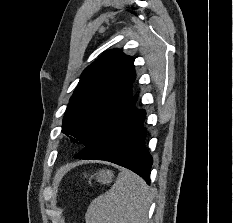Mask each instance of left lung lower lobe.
<instances>
[{"label": "left lung lower lobe", "instance_id": "left-lung-lower-lobe-1", "mask_svg": "<svg viewBox=\"0 0 233 223\" xmlns=\"http://www.w3.org/2000/svg\"><path fill=\"white\" fill-rule=\"evenodd\" d=\"M133 96L74 157L106 160L132 170L150 184L152 157L144 146L145 110L134 107Z\"/></svg>", "mask_w": 233, "mask_h": 223}]
</instances>
